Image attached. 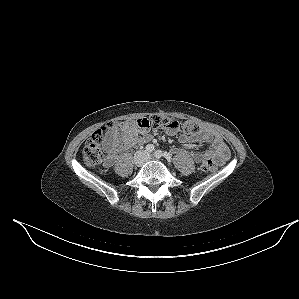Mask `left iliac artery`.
Instances as JSON below:
<instances>
[{"label":"left iliac artery","mask_w":299,"mask_h":299,"mask_svg":"<svg viewBox=\"0 0 299 299\" xmlns=\"http://www.w3.org/2000/svg\"><path fill=\"white\" fill-rule=\"evenodd\" d=\"M154 156L157 158V159H159V158H161V157H165V158H167V159H170V156L168 155V154H166V153H163L161 150H157L156 152H155V154H154Z\"/></svg>","instance_id":"44dca946"}]
</instances>
